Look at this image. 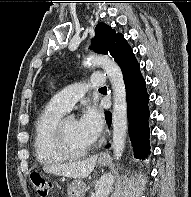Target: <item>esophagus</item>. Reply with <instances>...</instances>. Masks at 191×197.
Returning a JSON list of instances; mask_svg holds the SVG:
<instances>
[{"mask_svg":"<svg viewBox=\"0 0 191 197\" xmlns=\"http://www.w3.org/2000/svg\"><path fill=\"white\" fill-rule=\"evenodd\" d=\"M108 157L105 155V154H101L100 156H99V159L100 160H105V159H107Z\"/></svg>","mask_w":191,"mask_h":197,"instance_id":"obj_1","label":"esophagus"}]
</instances>
